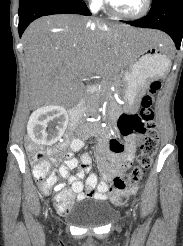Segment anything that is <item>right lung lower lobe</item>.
<instances>
[{
  "mask_svg": "<svg viewBox=\"0 0 183 246\" xmlns=\"http://www.w3.org/2000/svg\"><path fill=\"white\" fill-rule=\"evenodd\" d=\"M52 14L91 15L82 0H21L19 1L18 26L20 37L33 20Z\"/></svg>",
  "mask_w": 183,
  "mask_h": 246,
  "instance_id": "98d812e1",
  "label": "right lung lower lobe"
}]
</instances>
